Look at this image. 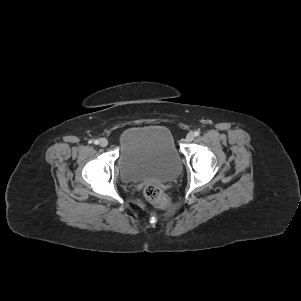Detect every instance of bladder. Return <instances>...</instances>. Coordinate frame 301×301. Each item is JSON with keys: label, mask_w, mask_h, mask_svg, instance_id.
<instances>
[{"label": "bladder", "mask_w": 301, "mask_h": 301, "mask_svg": "<svg viewBox=\"0 0 301 301\" xmlns=\"http://www.w3.org/2000/svg\"><path fill=\"white\" fill-rule=\"evenodd\" d=\"M117 167L125 182L176 178L181 161L171 132L161 125L135 126L120 136Z\"/></svg>", "instance_id": "31cf9c89"}]
</instances>
